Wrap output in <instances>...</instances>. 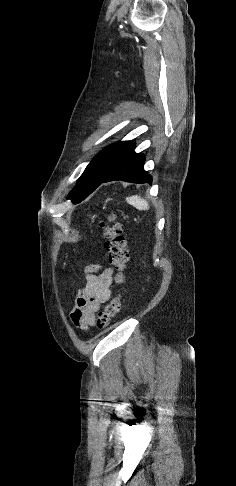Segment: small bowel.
Instances as JSON below:
<instances>
[{
	"instance_id": "obj_1",
	"label": "small bowel",
	"mask_w": 236,
	"mask_h": 486,
	"mask_svg": "<svg viewBox=\"0 0 236 486\" xmlns=\"http://www.w3.org/2000/svg\"><path fill=\"white\" fill-rule=\"evenodd\" d=\"M87 278L84 287L78 292L75 306L71 312L73 324L83 330L95 322V314L111 296L113 271L92 264L86 268Z\"/></svg>"
}]
</instances>
